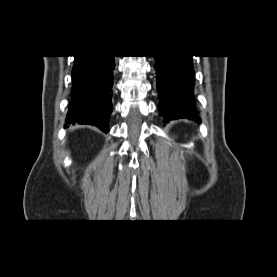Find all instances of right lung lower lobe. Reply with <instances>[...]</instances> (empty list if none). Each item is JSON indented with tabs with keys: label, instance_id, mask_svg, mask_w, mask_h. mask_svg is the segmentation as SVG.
<instances>
[{
	"label": "right lung lower lobe",
	"instance_id": "98d812e1",
	"mask_svg": "<svg viewBox=\"0 0 277 277\" xmlns=\"http://www.w3.org/2000/svg\"><path fill=\"white\" fill-rule=\"evenodd\" d=\"M114 56H75L72 69V99L68 124H91L109 131Z\"/></svg>",
	"mask_w": 277,
	"mask_h": 277
}]
</instances>
